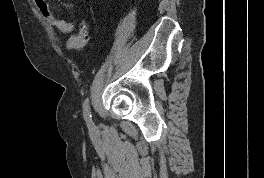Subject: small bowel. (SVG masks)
I'll list each match as a JSON object with an SVG mask.
<instances>
[{
	"mask_svg": "<svg viewBox=\"0 0 264 178\" xmlns=\"http://www.w3.org/2000/svg\"><path fill=\"white\" fill-rule=\"evenodd\" d=\"M38 11L48 25L63 34H69L74 30V22L60 19L52 12L46 0H33Z\"/></svg>",
	"mask_w": 264,
	"mask_h": 178,
	"instance_id": "c3829d8e",
	"label": "small bowel"
}]
</instances>
